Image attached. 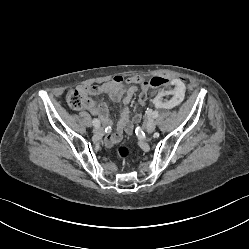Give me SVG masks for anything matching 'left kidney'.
Here are the masks:
<instances>
[{"mask_svg":"<svg viewBox=\"0 0 249 249\" xmlns=\"http://www.w3.org/2000/svg\"><path fill=\"white\" fill-rule=\"evenodd\" d=\"M187 90L186 81L181 76L171 78L153 97V106L161 111L178 104Z\"/></svg>","mask_w":249,"mask_h":249,"instance_id":"5707ae66","label":"left kidney"}]
</instances>
